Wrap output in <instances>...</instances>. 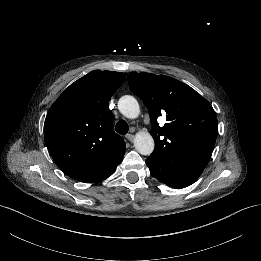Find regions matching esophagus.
<instances>
[{
  "mask_svg": "<svg viewBox=\"0 0 261 261\" xmlns=\"http://www.w3.org/2000/svg\"><path fill=\"white\" fill-rule=\"evenodd\" d=\"M126 138H127L130 142H133V140H134V135H133V134H127V135H126Z\"/></svg>",
  "mask_w": 261,
  "mask_h": 261,
  "instance_id": "esophagus-1",
  "label": "esophagus"
}]
</instances>
